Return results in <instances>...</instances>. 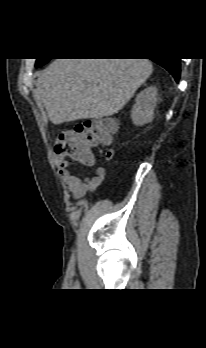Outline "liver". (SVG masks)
<instances>
[{
    "mask_svg": "<svg viewBox=\"0 0 206 348\" xmlns=\"http://www.w3.org/2000/svg\"><path fill=\"white\" fill-rule=\"evenodd\" d=\"M153 72L148 59H55L35 97L53 124L118 113Z\"/></svg>",
    "mask_w": 206,
    "mask_h": 348,
    "instance_id": "6515ba94",
    "label": "liver"
}]
</instances>
